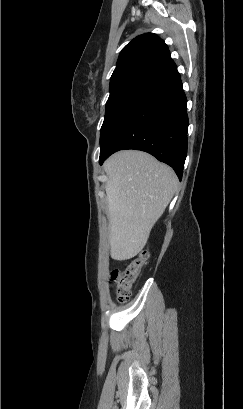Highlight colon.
<instances>
[{
    "mask_svg": "<svg viewBox=\"0 0 243 409\" xmlns=\"http://www.w3.org/2000/svg\"><path fill=\"white\" fill-rule=\"evenodd\" d=\"M147 258V253L143 252L134 259L126 262L122 268L112 272L111 281L114 284L116 297L119 302L124 303L128 300L141 269L147 263Z\"/></svg>",
    "mask_w": 243,
    "mask_h": 409,
    "instance_id": "5ec220e1",
    "label": "colon"
}]
</instances>
